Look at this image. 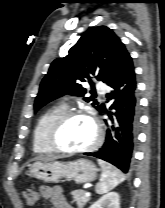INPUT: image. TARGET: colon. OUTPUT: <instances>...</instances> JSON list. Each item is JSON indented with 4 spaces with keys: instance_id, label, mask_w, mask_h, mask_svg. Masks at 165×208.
<instances>
[{
    "instance_id": "colon-1",
    "label": "colon",
    "mask_w": 165,
    "mask_h": 208,
    "mask_svg": "<svg viewBox=\"0 0 165 208\" xmlns=\"http://www.w3.org/2000/svg\"><path fill=\"white\" fill-rule=\"evenodd\" d=\"M23 194H24L26 203L29 206L36 205V203L38 201V194L34 190H32V189H25Z\"/></svg>"
}]
</instances>
